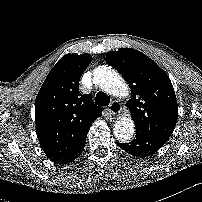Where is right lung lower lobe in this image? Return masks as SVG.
Here are the masks:
<instances>
[{
    "label": "right lung lower lobe",
    "instance_id": "obj_1",
    "mask_svg": "<svg viewBox=\"0 0 202 202\" xmlns=\"http://www.w3.org/2000/svg\"><path fill=\"white\" fill-rule=\"evenodd\" d=\"M90 128V127H89ZM89 128L87 130V133L89 131ZM87 133L85 134L84 136V139L83 141L81 142V144L78 146V148L71 154L69 155L68 157H65L64 159H62V163H56V164H67L69 162H72L74 161L76 158L79 157V155L82 153L83 149H84V146H85V142H86V137H87Z\"/></svg>",
    "mask_w": 202,
    "mask_h": 202
}]
</instances>
